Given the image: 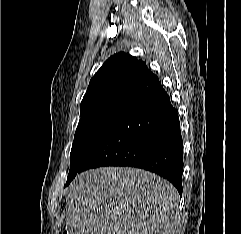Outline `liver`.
Wrapping results in <instances>:
<instances>
[{"label":"liver","mask_w":241,"mask_h":234,"mask_svg":"<svg viewBox=\"0 0 241 234\" xmlns=\"http://www.w3.org/2000/svg\"><path fill=\"white\" fill-rule=\"evenodd\" d=\"M179 193L167 180L130 167H102L75 177L66 196L70 234H173Z\"/></svg>","instance_id":"liver-1"}]
</instances>
